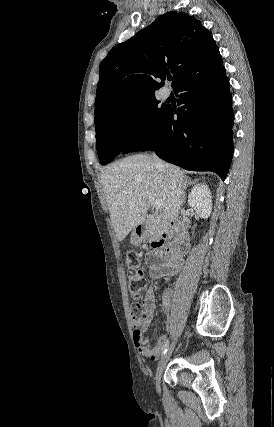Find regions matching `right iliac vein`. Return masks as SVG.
I'll return each instance as SVG.
<instances>
[{"label": "right iliac vein", "instance_id": "right-iliac-vein-1", "mask_svg": "<svg viewBox=\"0 0 274 427\" xmlns=\"http://www.w3.org/2000/svg\"><path fill=\"white\" fill-rule=\"evenodd\" d=\"M175 340H176V338H175ZM174 347H175V341L172 343L170 348L167 350L166 354L162 357V359L158 365L157 371L155 373V385L157 388L160 387V381H161L163 370L169 361V358L172 354Z\"/></svg>", "mask_w": 274, "mask_h": 427}]
</instances>
